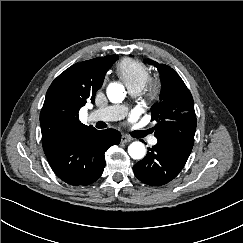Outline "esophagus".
<instances>
[{"label":"esophagus","mask_w":243,"mask_h":243,"mask_svg":"<svg viewBox=\"0 0 243 243\" xmlns=\"http://www.w3.org/2000/svg\"><path fill=\"white\" fill-rule=\"evenodd\" d=\"M132 140V138L130 137V136H128V135H122V137H121V141L123 142V143H128V142H130Z\"/></svg>","instance_id":"34e87169"}]
</instances>
